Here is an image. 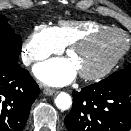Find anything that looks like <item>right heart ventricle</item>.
<instances>
[{
	"label": "right heart ventricle",
	"mask_w": 131,
	"mask_h": 131,
	"mask_svg": "<svg viewBox=\"0 0 131 131\" xmlns=\"http://www.w3.org/2000/svg\"><path fill=\"white\" fill-rule=\"evenodd\" d=\"M106 28L110 26L93 20H62L52 29L64 47L91 32Z\"/></svg>",
	"instance_id": "obj_1"
}]
</instances>
